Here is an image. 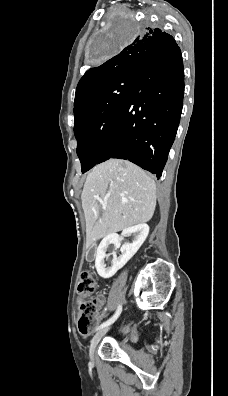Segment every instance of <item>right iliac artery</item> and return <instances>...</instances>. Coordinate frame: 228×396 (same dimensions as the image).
Instances as JSON below:
<instances>
[{"label": "right iliac artery", "mask_w": 228, "mask_h": 396, "mask_svg": "<svg viewBox=\"0 0 228 396\" xmlns=\"http://www.w3.org/2000/svg\"><path fill=\"white\" fill-rule=\"evenodd\" d=\"M121 311H122V306L119 305L117 310H116V312H115V314L109 320H107L106 322L102 323L97 329L99 330V329H102V328L107 327L110 324H112L119 317Z\"/></svg>", "instance_id": "82829eb1"}]
</instances>
